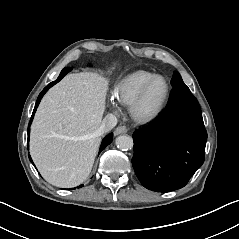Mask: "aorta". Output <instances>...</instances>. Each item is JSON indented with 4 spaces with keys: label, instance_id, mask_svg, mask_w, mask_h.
Segmentation results:
<instances>
[{
    "label": "aorta",
    "instance_id": "aorta-1",
    "mask_svg": "<svg viewBox=\"0 0 239 239\" xmlns=\"http://www.w3.org/2000/svg\"><path fill=\"white\" fill-rule=\"evenodd\" d=\"M116 145L121 150H128L133 147V139L129 135H120L116 138Z\"/></svg>",
    "mask_w": 239,
    "mask_h": 239
}]
</instances>
